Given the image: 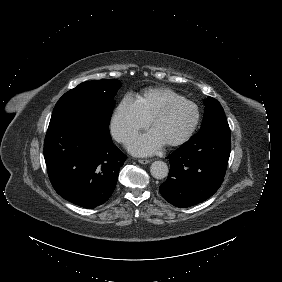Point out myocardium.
Segmentation results:
<instances>
[{
    "label": "myocardium",
    "instance_id": "f54148a6",
    "mask_svg": "<svg viewBox=\"0 0 282 282\" xmlns=\"http://www.w3.org/2000/svg\"><path fill=\"white\" fill-rule=\"evenodd\" d=\"M189 106L193 110V119L187 130L177 139L173 141L165 142L167 146L175 147L184 144L187 142L191 136L193 135L194 131L196 130L199 121H200V110L199 107L192 101L187 99H178V100H171L167 107L157 111L151 118L150 123L151 126L154 128L155 123L161 119L164 115H166L169 111L173 110L174 108Z\"/></svg>",
    "mask_w": 282,
    "mask_h": 282
}]
</instances>
